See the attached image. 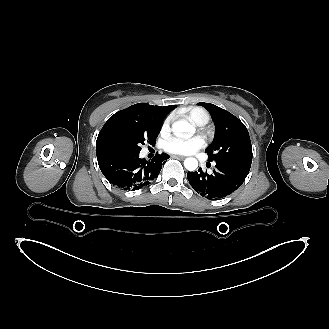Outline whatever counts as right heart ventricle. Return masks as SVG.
<instances>
[{"mask_svg": "<svg viewBox=\"0 0 329 329\" xmlns=\"http://www.w3.org/2000/svg\"><path fill=\"white\" fill-rule=\"evenodd\" d=\"M189 119L197 125H205L210 120L209 113L200 107H193L188 110Z\"/></svg>", "mask_w": 329, "mask_h": 329, "instance_id": "e07e8e85", "label": "right heart ventricle"}]
</instances>
